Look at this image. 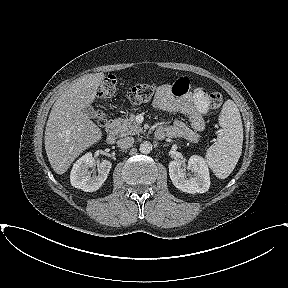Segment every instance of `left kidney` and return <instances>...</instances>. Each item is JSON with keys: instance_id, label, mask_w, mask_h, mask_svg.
I'll return each instance as SVG.
<instances>
[{"instance_id": "obj_1", "label": "left kidney", "mask_w": 288, "mask_h": 288, "mask_svg": "<svg viewBox=\"0 0 288 288\" xmlns=\"http://www.w3.org/2000/svg\"><path fill=\"white\" fill-rule=\"evenodd\" d=\"M168 168L170 179L179 190L190 194L208 191L210 187L209 169L202 157L193 155L189 158L187 170L192 174H189L188 178L179 161H171Z\"/></svg>"}]
</instances>
